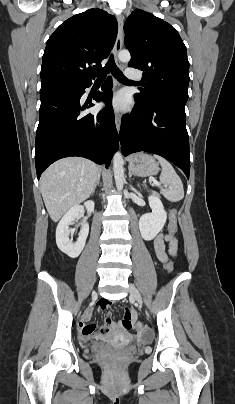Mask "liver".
<instances>
[{
	"label": "liver",
	"instance_id": "obj_1",
	"mask_svg": "<svg viewBox=\"0 0 235 404\" xmlns=\"http://www.w3.org/2000/svg\"><path fill=\"white\" fill-rule=\"evenodd\" d=\"M100 169L81 157L63 158L49 166L41 176V194L50 218L57 222L73 206L93 193Z\"/></svg>",
	"mask_w": 235,
	"mask_h": 404
}]
</instances>
